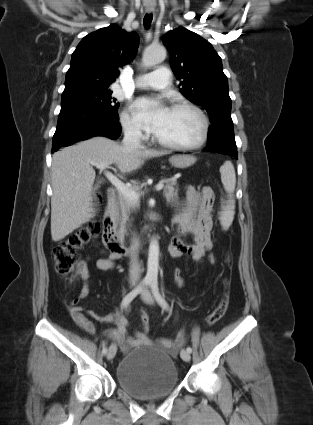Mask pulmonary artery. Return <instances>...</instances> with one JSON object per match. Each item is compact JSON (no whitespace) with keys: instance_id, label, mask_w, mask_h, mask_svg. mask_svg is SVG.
<instances>
[{"instance_id":"1","label":"pulmonary artery","mask_w":313,"mask_h":425,"mask_svg":"<svg viewBox=\"0 0 313 425\" xmlns=\"http://www.w3.org/2000/svg\"><path fill=\"white\" fill-rule=\"evenodd\" d=\"M171 73L166 67H159L155 71L139 76L135 84L141 88L164 89L170 85Z\"/></svg>"}]
</instances>
